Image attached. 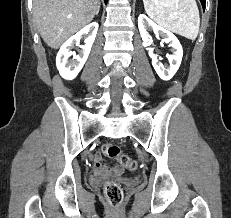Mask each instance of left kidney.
Returning <instances> with one entry per match:
<instances>
[{
  "label": "left kidney",
  "instance_id": "obj_1",
  "mask_svg": "<svg viewBox=\"0 0 231 218\" xmlns=\"http://www.w3.org/2000/svg\"><path fill=\"white\" fill-rule=\"evenodd\" d=\"M138 28L143 43L146 46H150L153 42L152 38L149 36L148 33L149 29H152L156 35L161 36L165 43H170V46L172 47V54L167 57L170 63V66L168 68H165L163 65H161L158 62L157 56L153 53V48L148 49L149 50L148 54L152 59V65L156 73L159 75V77L163 80L171 79L174 76V74L177 72L182 61L183 49L179 40L172 32H170L169 30H167L162 26L157 25L145 14L139 15Z\"/></svg>",
  "mask_w": 231,
  "mask_h": 218
}]
</instances>
